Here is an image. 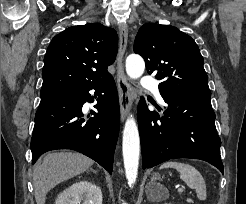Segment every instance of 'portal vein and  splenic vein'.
<instances>
[{"instance_id":"1","label":"portal vein and splenic vein","mask_w":246,"mask_h":204,"mask_svg":"<svg viewBox=\"0 0 246 204\" xmlns=\"http://www.w3.org/2000/svg\"><path fill=\"white\" fill-rule=\"evenodd\" d=\"M183 191H184V188H183V187H179V188H178V192H179V193H182Z\"/></svg>"}]
</instances>
